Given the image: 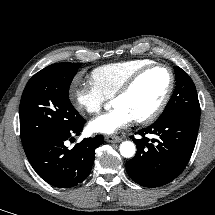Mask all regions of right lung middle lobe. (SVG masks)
<instances>
[{"label": "right lung middle lobe", "instance_id": "obj_1", "mask_svg": "<svg viewBox=\"0 0 215 215\" xmlns=\"http://www.w3.org/2000/svg\"><path fill=\"white\" fill-rule=\"evenodd\" d=\"M81 63H55L36 73L20 101V135L25 151L69 129L81 116L69 100V87Z\"/></svg>", "mask_w": 215, "mask_h": 215}]
</instances>
